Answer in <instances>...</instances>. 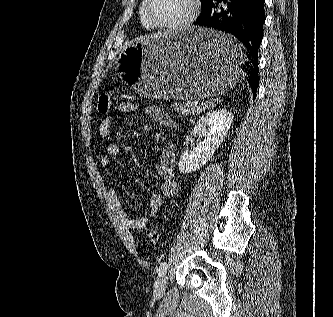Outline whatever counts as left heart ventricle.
Here are the masks:
<instances>
[{"instance_id": "left-heart-ventricle-1", "label": "left heart ventricle", "mask_w": 333, "mask_h": 317, "mask_svg": "<svg viewBox=\"0 0 333 317\" xmlns=\"http://www.w3.org/2000/svg\"><path fill=\"white\" fill-rule=\"evenodd\" d=\"M189 10L188 0H150L149 16L161 23H175L183 19Z\"/></svg>"}]
</instances>
